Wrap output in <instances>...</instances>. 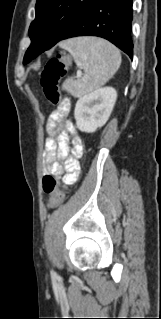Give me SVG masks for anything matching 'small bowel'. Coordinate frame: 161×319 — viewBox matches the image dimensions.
Masks as SVG:
<instances>
[{"instance_id":"1","label":"small bowel","mask_w":161,"mask_h":319,"mask_svg":"<svg viewBox=\"0 0 161 319\" xmlns=\"http://www.w3.org/2000/svg\"><path fill=\"white\" fill-rule=\"evenodd\" d=\"M70 106V102L66 100ZM67 115L63 113L61 107L55 109L49 116L47 123V131L49 136L45 141V161L48 168L46 175L53 177H62L66 185L74 184L80 176V166L78 158L83 152V141L76 134L73 123L67 119ZM71 135L74 137L71 140ZM72 146H69V143ZM71 154L72 157L65 161L64 173L62 165L58 159H66Z\"/></svg>"}]
</instances>
